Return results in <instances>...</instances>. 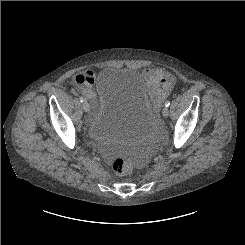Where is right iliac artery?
<instances>
[{
  "label": "right iliac artery",
  "mask_w": 245,
  "mask_h": 245,
  "mask_svg": "<svg viewBox=\"0 0 245 245\" xmlns=\"http://www.w3.org/2000/svg\"><path fill=\"white\" fill-rule=\"evenodd\" d=\"M79 100H80V102L81 103H83L85 100H84V98L81 96V97H79Z\"/></svg>",
  "instance_id": "obj_1"
}]
</instances>
